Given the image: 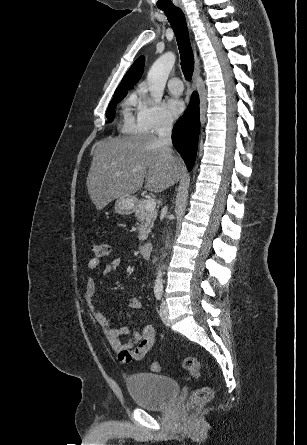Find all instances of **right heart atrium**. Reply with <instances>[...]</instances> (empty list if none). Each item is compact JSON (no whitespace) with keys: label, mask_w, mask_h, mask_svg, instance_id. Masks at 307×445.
Instances as JSON below:
<instances>
[{"label":"right heart atrium","mask_w":307,"mask_h":445,"mask_svg":"<svg viewBox=\"0 0 307 445\" xmlns=\"http://www.w3.org/2000/svg\"><path fill=\"white\" fill-rule=\"evenodd\" d=\"M137 96L141 103L137 120L143 131L149 134H161L173 126L174 119L162 103L152 99L144 88L139 89Z\"/></svg>","instance_id":"obj_1"}]
</instances>
